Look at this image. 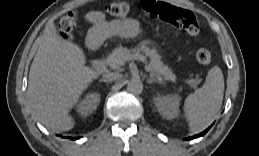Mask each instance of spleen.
<instances>
[{"instance_id":"1","label":"spleen","mask_w":259,"mask_h":156,"mask_svg":"<svg viewBox=\"0 0 259 156\" xmlns=\"http://www.w3.org/2000/svg\"><path fill=\"white\" fill-rule=\"evenodd\" d=\"M224 95V77L217 66L208 71L201 88L188 95L184 101V117L191 131L207 127L221 108Z\"/></svg>"}]
</instances>
